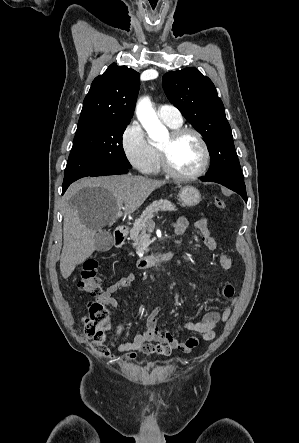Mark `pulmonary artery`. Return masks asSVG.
<instances>
[{"label": "pulmonary artery", "instance_id": "pulmonary-artery-1", "mask_svg": "<svg viewBox=\"0 0 299 443\" xmlns=\"http://www.w3.org/2000/svg\"><path fill=\"white\" fill-rule=\"evenodd\" d=\"M159 117L172 124H182L183 119L180 111L172 105H161L158 108Z\"/></svg>", "mask_w": 299, "mask_h": 443}]
</instances>
